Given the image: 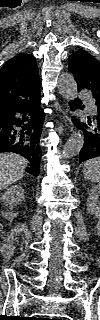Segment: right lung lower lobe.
I'll return each instance as SVG.
<instances>
[{"mask_svg": "<svg viewBox=\"0 0 100 320\" xmlns=\"http://www.w3.org/2000/svg\"><path fill=\"white\" fill-rule=\"evenodd\" d=\"M40 92L0 112V153L13 152L31 163L28 173L37 176L41 161V130L44 112L40 107Z\"/></svg>", "mask_w": 100, "mask_h": 320, "instance_id": "1", "label": "right lung lower lobe"}]
</instances>
